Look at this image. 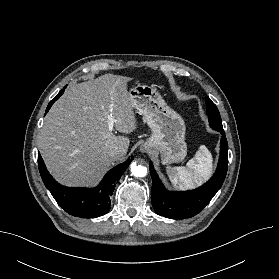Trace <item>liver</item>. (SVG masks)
<instances>
[{
  "label": "liver",
  "instance_id": "1",
  "mask_svg": "<svg viewBox=\"0 0 279 279\" xmlns=\"http://www.w3.org/2000/svg\"><path fill=\"white\" fill-rule=\"evenodd\" d=\"M130 77L105 74L73 84L53 104L38 136V147L47 169L61 184L93 186L115 161L125 158L130 140L109 131L131 133L137 128L127 90ZM115 148L120 155L111 157Z\"/></svg>",
  "mask_w": 279,
  "mask_h": 279
}]
</instances>
